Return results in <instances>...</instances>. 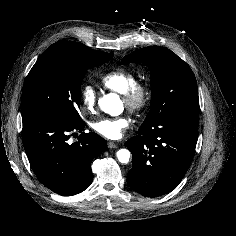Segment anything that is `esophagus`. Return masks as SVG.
Masks as SVG:
<instances>
[{"instance_id":"esophagus-1","label":"esophagus","mask_w":236,"mask_h":236,"mask_svg":"<svg viewBox=\"0 0 236 236\" xmlns=\"http://www.w3.org/2000/svg\"><path fill=\"white\" fill-rule=\"evenodd\" d=\"M116 147H117V145L115 142H113V141L108 142V148L112 149V148H116Z\"/></svg>"}]
</instances>
